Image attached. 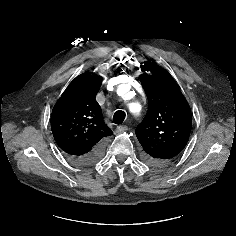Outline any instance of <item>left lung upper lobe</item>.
<instances>
[{"mask_svg":"<svg viewBox=\"0 0 236 236\" xmlns=\"http://www.w3.org/2000/svg\"><path fill=\"white\" fill-rule=\"evenodd\" d=\"M140 81L148 99L145 118L136 128L143 160L166 166L186 146L192 125L191 109L172 76L154 63L145 62Z\"/></svg>","mask_w":236,"mask_h":236,"instance_id":"obj_1","label":"left lung upper lobe"}]
</instances>
